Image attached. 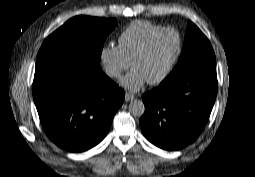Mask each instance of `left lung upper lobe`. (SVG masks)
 <instances>
[{"mask_svg": "<svg viewBox=\"0 0 255 177\" xmlns=\"http://www.w3.org/2000/svg\"><path fill=\"white\" fill-rule=\"evenodd\" d=\"M206 67H216L214 51L206 36L194 23L189 21L179 62L162 83Z\"/></svg>", "mask_w": 255, "mask_h": 177, "instance_id": "left-lung-upper-lobe-1", "label": "left lung upper lobe"}]
</instances>
